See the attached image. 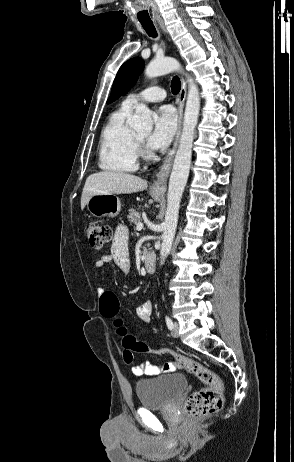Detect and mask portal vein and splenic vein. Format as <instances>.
<instances>
[{"label":"portal vein and splenic vein","mask_w":294,"mask_h":462,"mask_svg":"<svg viewBox=\"0 0 294 462\" xmlns=\"http://www.w3.org/2000/svg\"><path fill=\"white\" fill-rule=\"evenodd\" d=\"M143 227H144V226H143L142 223H138L137 226H136V230H137V231H140V230L143 229Z\"/></svg>","instance_id":"18ae733b"}]
</instances>
